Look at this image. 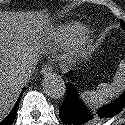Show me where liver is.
<instances>
[{
	"mask_svg": "<svg viewBox=\"0 0 125 125\" xmlns=\"http://www.w3.org/2000/svg\"><path fill=\"white\" fill-rule=\"evenodd\" d=\"M11 22L0 17V121L13 106L24 82L19 73L24 67L22 47L13 42ZM40 25V23H38Z\"/></svg>",
	"mask_w": 125,
	"mask_h": 125,
	"instance_id": "1",
	"label": "liver"
}]
</instances>
